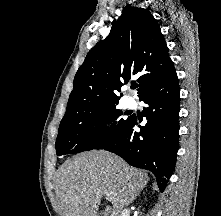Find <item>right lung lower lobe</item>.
Listing matches in <instances>:
<instances>
[{
  "label": "right lung lower lobe",
  "instance_id": "obj_1",
  "mask_svg": "<svg viewBox=\"0 0 221 216\" xmlns=\"http://www.w3.org/2000/svg\"><path fill=\"white\" fill-rule=\"evenodd\" d=\"M140 101L145 126H138L135 116L121 130L117 138L105 150L122 157L128 164L152 171L158 187L164 191L176 162L179 148V101L180 89L175 69L149 88ZM140 132H136V127Z\"/></svg>",
  "mask_w": 221,
  "mask_h": 216
}]
</instances>
